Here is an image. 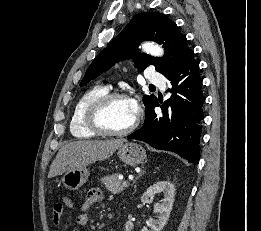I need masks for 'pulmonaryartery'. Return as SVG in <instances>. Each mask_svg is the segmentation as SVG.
I'll use <instances>...</instances> for the list:
<instances>
[{"instance_id":"e3ab8cb5","label":"pulmonary artery","mask_w":261,"mask_h":231,"mask_svg":"<svg viewBox=\"0 0 261 231\" xmlns=\"http://www.w3.org/2000/svg\"><path fill=\"white\" fill-rule=\"evenodd\" d=\"M149 82L152 83L153 85L160 86L162 88L166 87V79L165 77L157 72L151 71L149 75Z\"/></svg>"}]
</instances>
